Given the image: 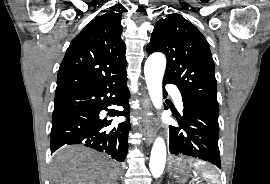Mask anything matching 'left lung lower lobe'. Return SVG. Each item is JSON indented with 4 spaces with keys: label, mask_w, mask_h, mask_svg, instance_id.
<instances>
[{
    "label": "left lung lower lobe",
    "mask_w": 270,
    "mask_h": 184,
    "mask_svg": "<svg viewBox=\"0 0 270 184\" xmlns=\"http://www.w3.org/2000/svg\"><path fill=\"white\" fill-rule=\"evenodd\" d=\"M167 83L163 80V84ZM182 100L183 115L174 116L179 127L170 126L171 154L191 156L221 168L218 115L184 96Z\"/></svg>",
    "instance_id": "1"
}]
</instances>
